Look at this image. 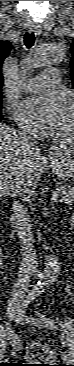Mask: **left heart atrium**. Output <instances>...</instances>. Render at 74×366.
Wrapping results in <instances>:
<instances>
[{"label":"left heart atrium","instance_id":"obj_1","mask_svg":"<svg viewBox=\"0 0 74 366\" xmlns=\"http://www.w3.org/2000/svg\"><path fill=\"white\" fill-rule=\"evenodd\" d=\"M64 103L57 92L32 97L22 103L19 116L26 125L42 132H51L62 117Z\"/></svg>","mask_w":74,"mask_h":366}]
</instances>
